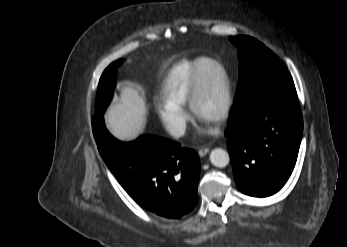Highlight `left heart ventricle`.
<instances>
[{
	"mask_svg": "<svg viewBox=\"0 0 347 247\" xmlns=\"http://www.w3.org/2000/svg\"><path fill=\"white\" fill-rule=\"evenodd\" d=\"M223 86L219 71L210 64L201 68V93L199 98V117L213 121L223 103Z\"/></svg>",
	"mask_w": 347,
	"mask_h": 247,
	"instance_id": "b2bd125f",
	"label": "left heart ventricle"
}]
</instances>
